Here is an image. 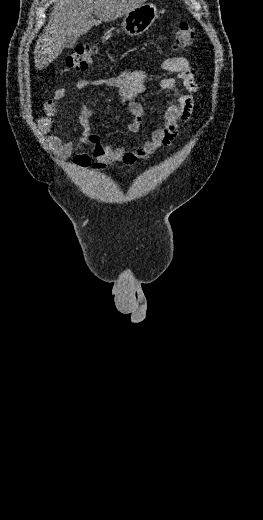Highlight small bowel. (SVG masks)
Masks as SVG:
<instances>
[{
  "mask_svg": "<svg viewBox=\"0 0 263 520\" xmlns=\"http://www.w3.org/2000/svg\"><path fill=\"white\" fill-rule=\"evenodd\" d=\"M159 69L165 73L175 74L174 77L162 78L158 83L160 89L170 94V98L166 101L164 123L152 132L150 139L138 147L127 149L124 146H103L98 137L89 130L93 111L88 108L81 111L82 133L77 142L64 140L60 135L51 133L59 103L67 95V89L64 87L56 89L54 95L45 103V113L38 120V128L42 133L49 135V142L59 156L70 158L75 151H78L70 163L77 169L91 166L94 171H100L113 163L132 165L137 161L147 160L162 147L169 146L178 135L180 124L191 118L195 108L194 94L199 88L195 71L184 57H169L160 64ZM147 79L148 76L143 70L125 69L118 75L106 79H81L76 82L75 88L82 90L87 87L108 86L116 89L120 98L128 104L131 114L127 129L130 133H137L145 115L139 99L148 91ZM87 144L92 146L89 152L85 150Z\"/></svg>",
  "mask_w": 263,
  "mask_h": 520,
  "instance_id": "small-bowel-1",
  "label": "small bowel"
}]
</instances>
